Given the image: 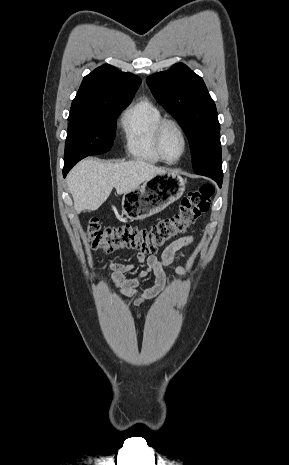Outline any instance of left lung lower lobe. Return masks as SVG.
I'll return each instance as SVG.
<instances>
[{"instance_id":"obj_1","label":"left lung lower lobe","mask_w":289,"mask_h":465,"mask_svg":"<svg viewBox=\"0 0 289 465\" xmlns=\"http://www.w3.org/2000/svg\"><path fill=\"white\" fill-rule=\"evenodd\" d=\"M221 184H222V179L219 180V185L221 186Z\"/></svg>"}]
</instances>
